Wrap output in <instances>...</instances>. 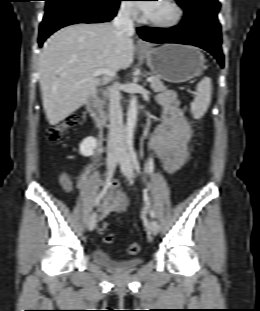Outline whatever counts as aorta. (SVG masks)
<instances>
[{
    "label": "aorta",
    "mask_w": 260,
    "mask_h": 311,
    "mask_svg": "<svg viewBox=\"0 0 260 311\" xmlns=\"http://www.w3.org/2000/svg\"><path fill=\"white\" fill-rule=\"evenodd\" d=\"M137 111H138V100L134 96L130 101V105L127 112V123L124 135L126 142H132L133 140V134L137 123Z\"/></svg>",
    "instance_id": "aorta-1"
}]
</instances>
